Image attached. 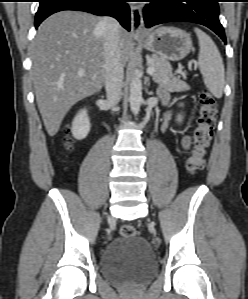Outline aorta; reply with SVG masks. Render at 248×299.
<instances>
[{
	"mask_svg": "<svg viewBox=\"0 0 248 299\" xmlns=\"http://www.w3.org/2000/svg\"><path fill=\"white\" fill-rule=\"evenodd\" d=\"M130 109L134 115H137L140 111L142 102V82L139 78L138 71H135L130 83Z\"/></svg>",
	"mask_w": 248,
	"mask_h": 299,
	"instance_id": "762f6f07",
	"label": "aorta"
}]
</instances>
